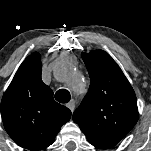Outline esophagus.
<instances>
[{
  "label": "esophagus",
  "mask_w": 151,
  "mask_h": 151,
  "mask_svg": "<svg viewBox=\"0 0 151 151\" xmlns=\"http://www.w3.org/2000/svg\"><path fill=\"white\" fill-rule=\"evenodd\" d=\"M67 107L73 112L75 109V102L72 100L67 104Z\"/></svg>",
  "instance_id": "esophagus-1"
}]
</instances>
